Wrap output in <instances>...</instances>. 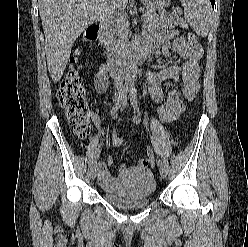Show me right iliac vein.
<instances>
[{
	"label": "right iliac vein",
	"instance_id": "1",
	"mask_svg": "<svg viewBox=\"0 0 248 247\" xmlns=\"http://www.w3.org/2000/svg\"><path fill=\"white\" fill-rule=\"evenodd\" d=\"M119 98H115V101H118ZM98 174V166L95 164L91 170V177L95 179Z\"/></svg>",
	"mask_w": 248,
	"mask_h": 247
}]
</instances>
